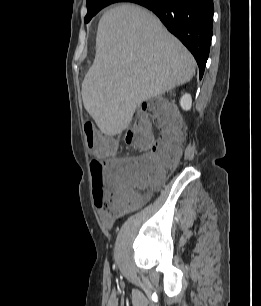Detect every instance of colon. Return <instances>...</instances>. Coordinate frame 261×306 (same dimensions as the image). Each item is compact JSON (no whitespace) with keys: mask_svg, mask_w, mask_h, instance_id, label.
<instances>
[{"mask_svg":"<svg viewBox=\"0 0 261 306\" xmlns=\"http://www.w3.org/2000/svg\"><path fill=\"white\" fill-rule=\"evenodd\" d=\"M152 124L160 130L157 140ZM176 113L159 98L150 100L126 134V143L142 152L139 157L114 159L106 166L93 159L90 169L97 198V207L112 212L128 203L135 187L159 185L168 168L173 167L181 150L176 144L181 134ZM87 147L98 155L112 151L114 142L98 138L91 124L84 127Z\"/></svg>","mask_w":261,"mask_h":306,"instance_id":"colon-1","label":"colon"}]
</instances>
